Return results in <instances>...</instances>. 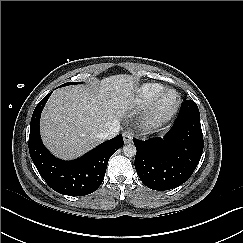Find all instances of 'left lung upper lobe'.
<instances>
[{
    "label": "left lung upper lobe",
    "instance_id": "left-lung-upper-lobe-1",
    "mask_svg": "<svg viewBox=\"0 0 243 243\" xmlns=\"http://www.w3.org/2000/svg\"><path fill=\"white\" fill-rule=\"evenodd\" d=\"M182 106H197L193 100H185Z\"/></svg>",
    "mask_w": 243,
    "mask_h": 243
}]
</instances>
